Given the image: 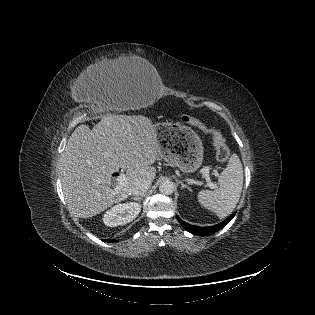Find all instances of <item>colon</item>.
Segmentation results:
<instances>
[{"instance_id":"1","label":"colon","mask_w":315,"mask_h":315,"mask_svg":"<svg viewBox=\"0 0 315 315\" xmlns=\"http://www.w3.org/2000/svg\"><path fill=\"white\" fill-rule=\"evenodd\" d=\"M182 121L202 130L204 133L209 134L211 136L215 148V155L217 161L226 162L229 159L231 154L230 149L224 137L218 131L207 128L199 119L190 115H183Z\"/></svg>"}]
</instances>
